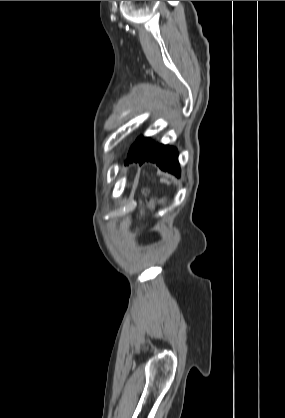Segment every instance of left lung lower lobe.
Wrapping results in <instances>:
<instances>
[{"label":"left lung lower lobe","mask_w":285,"mask_h":418,"mask_svg":"<svg viewBox=\"0 0 285 418\" xmlns=\"http://www.w3.org/2000/svg\"><path fill=\"white\" fill-rule=\"evenodd\" d=\"M155 162L162 170L179 175L178 153L176 148L153 143L150 138L140 136L130 147L126 164L129 162Z\"/></svg>","instance_id":"obj_1"}]
</instances>
